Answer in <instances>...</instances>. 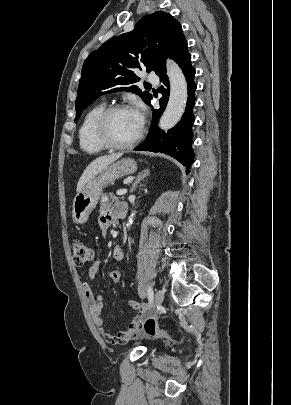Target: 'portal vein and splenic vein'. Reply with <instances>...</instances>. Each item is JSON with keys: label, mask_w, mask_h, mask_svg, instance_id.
Instances as JSON below:
<instances>
[{"label": "portal vein and splenic vein", "mask_w": 291, "mask_h": 405, "mask_svg": "<svg viewBox=\"0 0 291 405\" xmlns=\"http://www.w3.org/2000/svg\"><path fill=\"white\" fill-rule=\"evenodd\" d=\"M127 193V189H120L116 192L117 195H125Z\"/></svg>", "instance_id": "portal-vein-and-splenic-vein-1"}]
</instances>
